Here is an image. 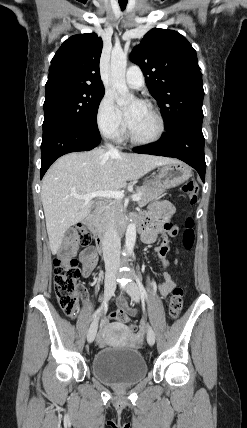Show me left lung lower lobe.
<instances>
[{"mask_svg":"<svg viewBox=\"0 0 247 428\" xmlns=\"http://www.w3.org/2000/svg\"><path fill=\"white\" fill-rule=\"evenodd\" d=\"M136 153L178 158L191 167L205 181L206 163L202 120H186L168 128L163 139L152 145L134 149Z\"/></svg>","mask_w":247,"mask_h":428,"instance_id":"obj_1","label":"left lung lower lobe"}]
</instances>
